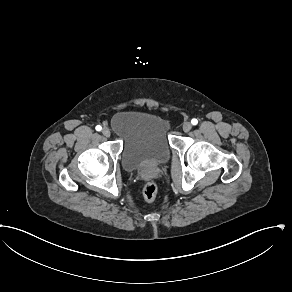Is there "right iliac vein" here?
Masks as SVG:
<instances>
[{
    "label": "right iliac vein",
    "instance_id": "obj_1",
    "mask_svg": "<svg viewBox=\"0 0 292 292\" xmlns=\"http://www.w3.org/2000/svg\"><path fill=\"white\" fill-rule=\"evenodd\" d=\"M102 134L105 136V137H110L111 135V131L108 127H104L103 130H102Z\"/></svg>",
    "mask_w": 292,
    "mask_h": 292
}]
</instances>
